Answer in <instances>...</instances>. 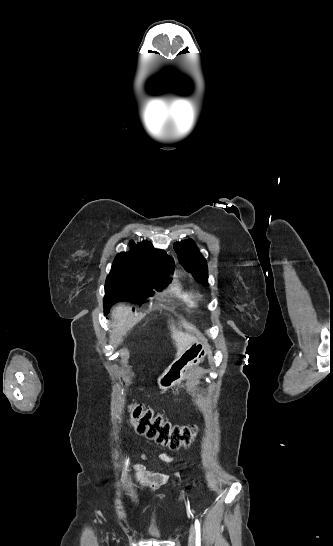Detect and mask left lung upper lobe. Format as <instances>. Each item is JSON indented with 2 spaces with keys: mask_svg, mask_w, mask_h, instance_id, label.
Listing matches in <instances>:
<instances>
[{
  "mask_svg": "<svg viewBox=\"0 0 333 546\" xmlns=\"http://www.w3.org/2000/svg\"><path fill=\"white\" fill-rule=\"evenodd\" d=\"M178 260L184 269L190 272L194 279L202 285H208V269L206 259L199 253L193 240H183L174 244Z\"/></svg>",
  "mask_w": 333,
  "mask_h": 546,
  "instance_id": "5c2ea615",
  "label": "left lung upper lobe"
}]
</instances>
